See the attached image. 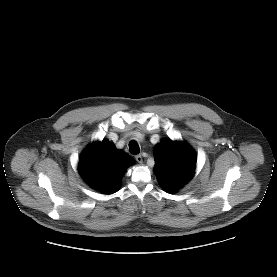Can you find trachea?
I'll list each match as a JSON object with an SVG mask.
<instances>
[{
	"label": "trachea",
	"mask_w": 277,
	"mask_h": 277,
	"mask_svg": "<svg viewBox=\"0 0 277 277\" xmlns=\"http://www.w3.org/2000/svg\"><path fill=\"white\" fill-rule=\"evenodd\" d=\"M129 150L132 154H138L140 152L138 143L134 140L130 141L129 142Z\"/></svg>",
	"instance_id": "trachea-1"
}]
</instances>
